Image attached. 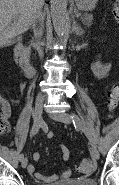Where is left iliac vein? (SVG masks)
Instances as JSON below:
<instances>
[{"label": "left iliac vein", "mask_w": 119, "mask_h": 185, "mask_svg": "<svg viewBox=\"0 0 119 185\" xmlns=\"http://www.w3.org/2000/svg\"><path fill=\"white\" fill-rule=\"evenodd\" d=\"M49 116L54 120L61 121L66 124L72 123V117L66 112H50ZM91 157L94 161L99 159V152L94 144H91Z\"/></svg>", "instance_id": "4c4485c4"}]
</instances>
